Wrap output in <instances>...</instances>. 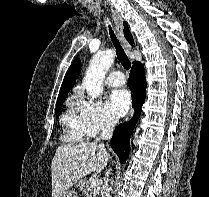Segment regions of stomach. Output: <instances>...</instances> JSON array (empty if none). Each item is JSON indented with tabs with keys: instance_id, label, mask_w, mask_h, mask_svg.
Here are the masks:
<instances>
[{
	"instance_id": "stomach-1",
	"label": "stomach",
	"mask_w": 209,
	"mask_h": 197,
	"mask_svg": "<svg viewBox=\"0 0 209 197\" xmlns=\"http://www.w3.org/2000/svg\"><path fill=\"white\" fill-rule=\"evenodd\" d=\"M60 197H78L77 193L73 190L65 191Z\"/></svg>"
}]
</instances>
